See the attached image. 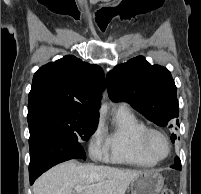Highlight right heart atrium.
Wrapping results in <instances>:
<instances>
[{
  "label": "right heart atrium",
  "mask_w": 201,
  "mask_h": 194,
  "mask_svg": "<svg viewBox=\"0 0 201 194\" xmlns=\"http://www.w3.org/2000/svg\"><path fill=\"white\" fill-rule=\"evenodd\" d=\"M102 128L98 126L89 139V147L93 155L98 156L101 152Z\"/></svg>",
  "instance_id": "1"
}]
</instances>
